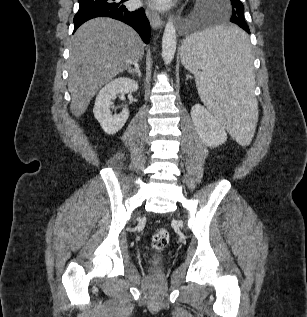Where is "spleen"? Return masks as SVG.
<instances>
[{"label":"spleen","mask_w":307,"mask_h":317,"mask_svg":"<svg viewBox=\"0 0 307 317\" xmlns=\"http://www.w3.org/2000/svg\"><path fill=\"white\" fill-rule=\"evenodd\" d=\"M203 104L239 143L248 142L257 116L255 78L246 29L204 26L181 47Z\"/></svg>","instance_id":"1"}]
</instances>
